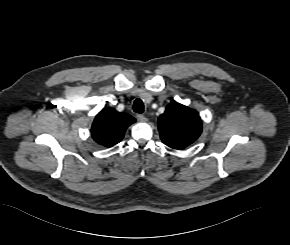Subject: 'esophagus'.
Wrapping results in <instances>:
<instances>
[{
  "label": "esophagus",
  "mask_w": 290,
  "mask_h": 245,
  "mask_svg": "<svg viewBox=\"0 0 290 245\" xmlns=\"http://www.w3.org/2000/svg\"><path fill=\"white\" fill-rule=\"evenodd\" d=\"M137 119L140 121V122H146L147 121V118L142 115V114H138L137 115Z\"/></svg>",
  "instance_id": "1"
}]
</instances>
